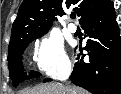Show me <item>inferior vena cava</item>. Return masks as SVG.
<instances>
[{"instance_id":"inferior-vena-cava-1","label":"inferior vena cava","mask_w":121,"mask_h":94,"mask_svg":"<svg viewBox=\"0 0 121 94\" xmlns=\"http://www.w3.org/2000/svg\"><path fill=\"white\" fill-rule=\"evenodd\" d=\"M71 73V66H68L65 70L64 78H68Z\"/></svg>"}]
</instances>
